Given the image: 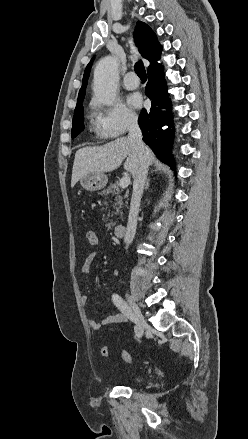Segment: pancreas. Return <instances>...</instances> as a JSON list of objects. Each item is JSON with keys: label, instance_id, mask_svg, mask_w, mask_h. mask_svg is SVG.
<instances>
[{"label": "pancreas", "instance_id": "1", "mask_svg": "<svg viewBox=\"0 0 248 439\" xmlns=\"http://www.w3.org/2000/svg\"><path fill=\"white\" fill-rule=\"evenodd\" d=\"M109 193H114V194L117 195L116 198H115V201H116L115 206H119L118 208H120L123 205V201H122L123 198H121L119 196V183L118 182L114 183V184H110L107 189L102 191L101 194L102 195H107ZM117 212H119V210H117ZM115 225H116V223L111 221L110 223L107 224V227L111 228V227H113Z\"/></svg>", "mask_w": 248, "mask_h": 439}]
</instances>
